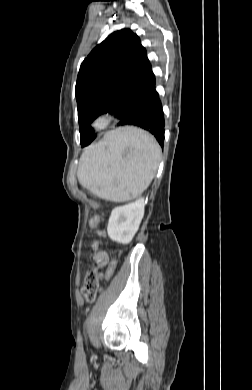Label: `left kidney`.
<instances>
[{"label":"left kidney","mask_w":252,"mask_h":390,"mask_svg":"<svg viewBox=\"0 0 252 390\" xmlns=\"http://www.w3.org/2000/svg\"><path fill=\"white\" fill-rule=\"evenodd\" d=\"M144 208V198L114 208L107 226L110 239L121 244L130 243L139 229Z\"/></svg>","instance_id":"obj_1"}]
</instances>
